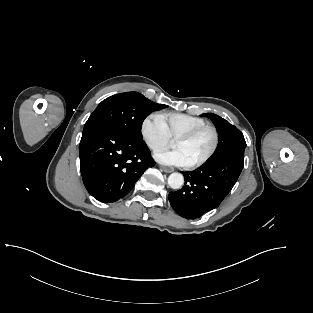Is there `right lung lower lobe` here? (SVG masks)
<instances>
[{"label":"right lung lower lobe","mask_w":313,"mask_h":313,"mask_svg":"<svg viewBox=\"0 0 313 313\" xmlns=\"http://www.w3.org/2000/svg\"><path fill=\"white\" fill-rule=\"evenodd\" d=\"M80 170L87 191L104 203L127 195L148 167L150 150L142 140L110 127H96L82 134Z\"/></svg>","instance_id":"1"}]
</instances>
